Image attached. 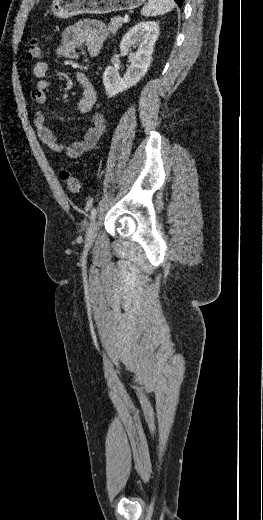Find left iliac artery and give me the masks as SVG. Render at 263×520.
<instances>
[{"mask_svg":"<svg viewBox=\"0 0 263 520\" xmlns=\"http://www.w3.org/2000/svg\"><path fill=\"white\" fill-rule=\"evenodd\" d=\"M96 214H97V209H96V208H93V209L91 210V215H90L91 220H95V218H96Z\"/></svg>","mask_w":263,"mask_h":520,"instance_id":"obj_1","label":"left iliac artery"}]
</instances>
